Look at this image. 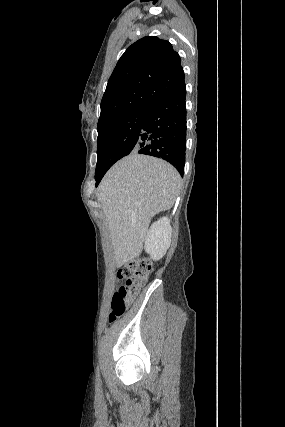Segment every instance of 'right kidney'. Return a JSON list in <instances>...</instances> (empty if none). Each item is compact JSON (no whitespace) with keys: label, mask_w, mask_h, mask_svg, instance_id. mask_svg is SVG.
Here are the masks:
<instances>
[{"label":"right kidney","mask_w":285,"mask_h":427,"mask_svg":"<svg viewBox=\"0 0 285 427\" xmlns=\"http://www.w3.org/2000/svg\"><path fill=\"white\" fill-rule=\"evenodd\" d=\"M172 228L167 217L160 218L154 222L145 238V251L153 260L162 258L171 243Z\"/></svg>","instance_id":"1"}]
</instances>
